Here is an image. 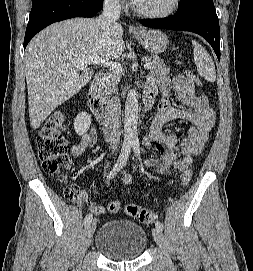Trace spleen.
Segmentation results:
<instances>
[{
	"mask_svg": "<svg viewBox=\"0 0 253 271\" xmlns=\"http://www.w3.org/2000/svg\"><path fill=\"white\" fill-rule=\"evenodd\" d=\"M192 44L198 73L207 81L214 82L216 80V70L212 58L199 43L192 41Z\"/></svg>",
	"mask_w": 253,
	"mask_h": 271,
	"instance_id": "1",
	"label": "spleen"
}]
</instances>
